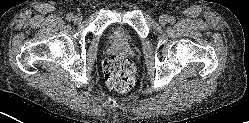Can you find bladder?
<instances>
[{
    "mask_svg": "<svg viewBox=\"0 0 249 123\" xmlns=\"http://www.w3.org/2000/svg\"><path fill=\"white\" fill-rule=\"evenodd\" d=\"M108 40L112 43L127 45L134 42V37L124 26L118 25L108 33Z\"/></svg>",
    "mask_w": 249,
    "mask_h": 123,
    "instance_id": "bladder-1",
    "label": "bladder"
}]
</instances>
